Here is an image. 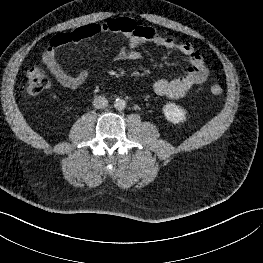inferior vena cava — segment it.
<instances>
[{"label":"inferior vena cava","mask_w":263,"mask_h":263,"mask_svg":"<svg viewBox=\"0 0 263 263\" xmlns=\"http://www.w3.org/2000/svg\"><path fill=\"white\" fill-rule=\"evenodd\" d=\"M93 106L96 109H103L108 106V100L104 96L95 97L93 100Z\"/></svg>","instance_id":"inferior-vena-cava-1"}]
</instances>
